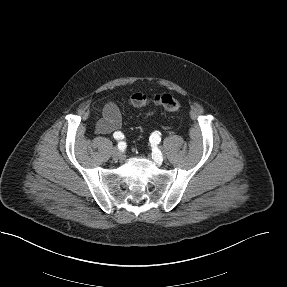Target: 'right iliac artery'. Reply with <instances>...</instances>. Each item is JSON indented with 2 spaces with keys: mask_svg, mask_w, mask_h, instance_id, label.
Listing matches in <instances>:
<instances>
[{
  "mask_svg": "<svg viewBox=\"0 0 287 287\" xmlns=\"http://www.w3.org/2000/svg\"><path fill=\"white\" fill-rule=\"evenodd\" d=\"M113 136H114V138L116 139V140H122L123 138H124V135L121 133V132H115L114 134H113ZM126 148V143L124 142V141H120L119 143H118V149L119 150H124Z\"/></svg>",
  "mask_w": 287,
  "mask_h": 287,
  "instance_id": "82829eb1",
  "label": "right iliac artery"
}]
</instances>
